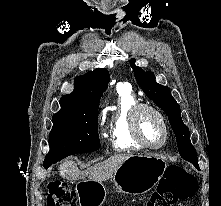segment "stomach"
<instances>
[{"label": "stomach", "instance_id": "0dacf381", "mask_svg": "<svg viewBox=\"0 0 221 206\" xmlns=\"http://www.w3.org/2000/svg\"><path fill=\"white\" fill-rule=\"evenodd\" d=\"M167 168L164 159L154 155H131L115 171L112 181L116 188L126 194H144L154 188ZM80 206H101L106 198L102 182L91 179L77 184Z\"/></svg>", "mask_w": 221, "mask_h": 206}]
</instances>
